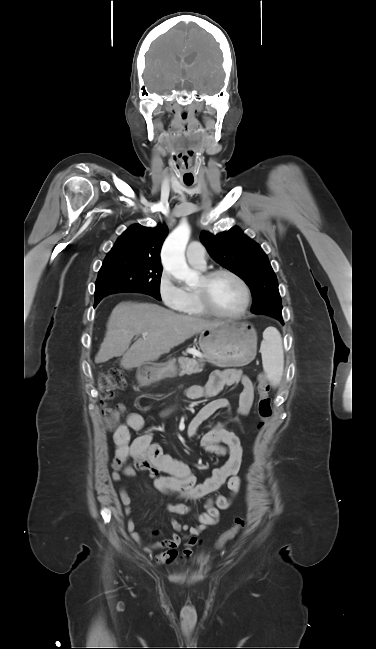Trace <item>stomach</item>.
<instances>
[{"mask_svg": "<svg viewBox=\"0 0 376 649\" xmlns=\"http://www.w3.org/2000/svg\"><path fill=\"white\" fill-rule=\"evenodd\" d=\"M256 346V331L246 322L223 323L200 332V350L208 362L218 367L248 364L255 358ZM138 373L142 384L154 383L166 376H175L177 362L173 358L164 365H144Z\"/></svg>", "mask_w": 376, "mask_h": 649, "instance_id": "1", "label": "stomach"}]
</instances>
